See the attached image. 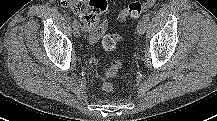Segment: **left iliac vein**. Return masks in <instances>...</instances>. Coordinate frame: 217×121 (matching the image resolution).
I'll return each mask as SVG.
<instances>
[{
	"mask_svg": "<svg viewBox=\"0 0 217 121\" xmlns=\"http://www.w3.org/2000/svg\"><path fill=\"white\" fill-rule=\"evenodd\" d=\"M146 27H147V23L145 21H140L138 24H137V33L139 35H142L145 33L146 31Z\"/></svg>",
	"mask_w": 217,
	"mask_h": 121,
	"instance_id": "4c4485c4",
	"label": "left iliac vein"
}]
</instances>
